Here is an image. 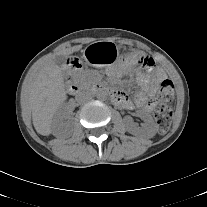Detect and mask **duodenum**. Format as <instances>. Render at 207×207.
Wrapping results in <instances>:
<instances>
[{
  "label": "duodenum",
  "instance_id": "410a0bca",
  "mask_svg": "<svg viewBox=\"0 0 207 207\" xmlns=\"http://www.w3.org/2000/svg\"><path fill=\"white\" fill-rule=\"evenodd\" d=\"M69 79H70V77H69ZM68 90H69V92H70L71 94H73V95H77V94L80 93V88H79V86H78L76 83L72 82V81H70V83H69ZM94 90H95L96 92H99V93H109L110 96H111L113 99H114L115 96H116V93H115L114 91H111L108 87H106V86H104V85H102V84L95 85V86H94Z\"/></svg>",
  "mask_w": 207,
  "mask_h": 207
}]
</instances>
